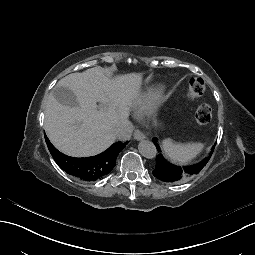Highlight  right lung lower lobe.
<instances>
[{"instance_id":"1","label":"right lung lower lobe","mask_w":255,"mask_h":255,"mask_svg":"<svg viewBox=\"0 0 255 255\" xmlns=\"http://www.w3.org/2000/svg\"><path fill=\"white\" fill-rule=\"evenodd\" d=\"M83 179L85 181H92L94 179V166L90 162L83 166Z\"/></svg>"}]
</instances>
